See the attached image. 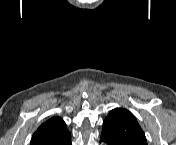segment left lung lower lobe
I'll list each match as a JSON object with an SVG mask.
<instances>
[{"mask_svg":"<svg viewBox=\"0 0 176 145\" xmlns=\"http://www.w3.org/2000/svg\"><path fill=\"white\" fill-rule=\"evenodd\" d=\"M101 141H105L106 143H108L103 137H101ZM108 144H110V143H108Z\"/></svg>","mask_w":176,"mask_h":145,"instance_id":"0a47b994","label":"left lung lower lobe"}]
</instances>
